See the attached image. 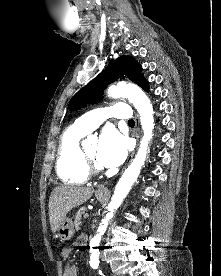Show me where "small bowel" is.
Instances as JSON below:
<instances>
[{
  "instance_id": "obj_1",
  "label": "small bowel",
  "mask_w": 221,
  "mask_h": 276,
  "mask_svg": "<svg viewBox=\"0 0 221 276\" xmlns=\"http://www.w3.org/2000/svg\"><path fill=\"white\" fill-rule=\"evenodd\" d=\"M85 242V237H80L77 242H76V246H82ZM71 252V249L70 248H65L63 249L62 251V255L64 258H67L69 256ZM63 276H78V271H77V268L76 266L72 265V264H67L65 266V270H64V274Z\"/></svg>"
}]
</instances>
